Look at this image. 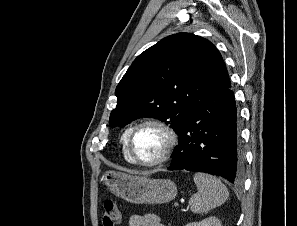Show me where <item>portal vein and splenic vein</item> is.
<instances>
[{
    "instance_id": "18ae733b",
    "label": "portal vein and splenic vein",
    "mask_w": 297,
    "mask_h": 226,
    "mask_svg": "<svg viewBox=\"0 0 297 226\" xmlns=\"http://www.w3.org/2000/svg\"><path fill=\"white\" fill-rule=\"evenodd\" d=\"M174 207L178 208L179 207V203L178 202H175L174 203Z\"/></svg>"
}]
</instances>
